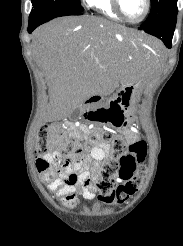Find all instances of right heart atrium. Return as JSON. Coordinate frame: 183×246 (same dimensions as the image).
<instances>
[{
	"instance_id": "1",
	"label": "right heart atrium",
	"mask_w": 183,
	"mask_h": 246,
	"mask_svg": "<svg viewBox=\"0 0 183 246\" xmlns=\"http://www.w3.org/2000/svg\"><path fill=\"white\" fill-rule=\"evenodd\" d=\"M84 2L88 3L89 0H83Z\"/></svg>"
}]
</instances>
